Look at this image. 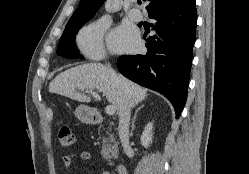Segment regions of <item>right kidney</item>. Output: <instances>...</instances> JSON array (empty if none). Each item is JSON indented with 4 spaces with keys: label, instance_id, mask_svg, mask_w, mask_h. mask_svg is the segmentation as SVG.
<instances>
[{
    "label": "right kidney",
    "instance_id": "right-kidney-1",
    "mask_svg": "<svg viewBox=\"0 0 249 174\" xmlns=\"http://www.w3.org/2000/svg\"><path fill=\"white\" fill-rule=\"evenodd\" d=\"M153 123H148L141 135V144L144 148H148L150 143H152V133Z\"/></svg>",
    "mask_w": 249,
    "mask_h": 174
}]
</instances>
